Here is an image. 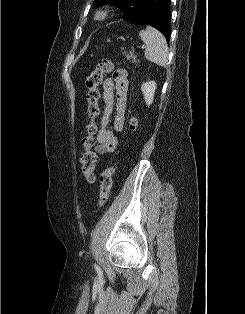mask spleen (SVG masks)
<instances>
[{"instance_id":"spleen-1","label":"spleen","mask_w":245,"mask_h":314,"mask_svg":"<svg viewBox=\"0 0 245 314\" xmlns=\"http://www.w3.org/2000/svg\"><path fill=\"white\" fill-rule=\"evenodd\" d=\"M139 36L146 46V59L165 67L168 63V45L164 36L157 29L150 26H147L146 30H141Z\"/></svg>"}]
</instances>
